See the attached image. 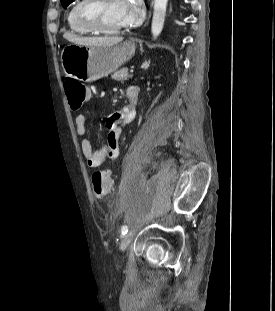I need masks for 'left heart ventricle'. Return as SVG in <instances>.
<instances>
[{
    "instance_id": "b2bd125f",
    "label": "left heart ventricle",
    "mask_w": 275,
    "mask_h": 311,
    "mask_svg": "<svg viewBox=\"0 0 275 311\" xmlns=\"http://www.w3.org/2000/svg\"><path fill=\"white\" fill-rule=\"evenodd\" d=\"M124 15L123 0H108L95 13L97 21L105 28L124 26Z\"/></svg>"
}]
</instances>
